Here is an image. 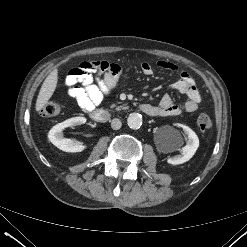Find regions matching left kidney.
<instances>
[{"label":"left kidney","mask_w":247,"mask_h":247,"mask_svg":"<svg viewBox=\"0 0 247 247\" xmlns=\"http://www.w3.org/2000/svg\"><path fill=\"white\" fill-rule=\"evenodd\" d=\"M181 127L183 128L184 133L187 135L188 141L187 144L182 148L181 154L172 158H168V163L172 165L183 164L189 161L199 147V139L196 133L188 126L182 125ZM166 141L168 145L174 149L180 147L182 143L180 134L173 130L167 134Z\"/></svg>","instance_id":"obj_1"}]
</instances>
